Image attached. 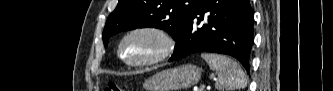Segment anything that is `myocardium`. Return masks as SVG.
<instances>
[{
    "mask_svg": "<svg viewBox=\"0 0 333 91\" xmlns=\"http://www.w3.org/2000/svg\"><path fill=\"white\" fill-rule=\"evenodd\" d=\"M143 34L153 37L157 40L159 44L158 52L149 58L139 60V61H129L125 58L123 53V48L126 41L134 35ZM176 46V41L173 35L165 28L152 26V25H142L130 29L120 40L117 53L119 58L129 67H145L154 65L167 60L174 52Z\"/></svg>",
    "mask_w": 333,
    "mask_h": 91,
    "instance_id": "1",
    "label": "myocardium"
}]
</instances>
